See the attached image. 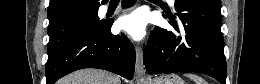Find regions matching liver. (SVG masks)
<instances>
[{
  "label": "liver",
  "mask_w": 260,
  "mask_h": 84,
  "mask_svg": "<svg viewBox=\"0 0 260 84\" xmlns=\"http://www.w3.org/2000/svg\"><path fill=\"white\" fill-rule=\"evenodd\" d=\"M59 84H121V81L119 77L100 69H82L62 78Z\"/></svg>",
  "instance_id": "1"
}]
</instances>
